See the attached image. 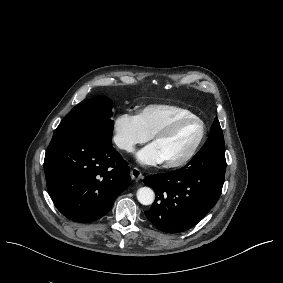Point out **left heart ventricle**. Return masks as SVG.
Wrapping results in <instances>:
<instances>
[{
  "label": "left heart ventricle",
  "instance_id": "obj_1",
  "mask_svg": "<svg viewBox=\"0 0 283 283\" xmlns=\"http://www.w3.org/2000/svg\"><path fill=\"white\" fill-rule=\"evenodd\" d=\"M200 130V123L187 121L179 125L171 137L156 140L164 154L165 161L182 159L196 142Z\"/></svg>",
  "mask_w": 283,
  "mask_h": 283
}]
</instances>
